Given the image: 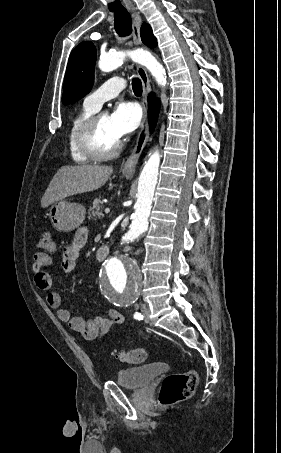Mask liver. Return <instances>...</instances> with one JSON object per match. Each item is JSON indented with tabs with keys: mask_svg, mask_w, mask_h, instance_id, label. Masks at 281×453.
<instances>
[{
	"mask_svg": "<svg viewBox=\"0 0 281 453\" xmlns=\"http://www.w3.org/2000/svg\"><path fill=\"white\" fill-rule=\"evenodd\" d=\"M113 166H100V164H75V166H61L54 174L46 192L41 198V206L46 208L56 200H63L66 196L97 190L105 184Z\"/></svg>",
	"mask_w": 281,
	"mask_h": 453,
	"instance_id": "liver-1",
	"label": "liver"
}]
</instances>
